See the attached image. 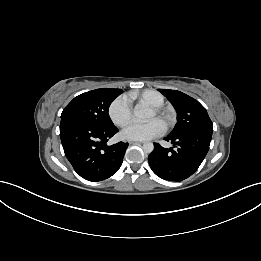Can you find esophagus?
I'll list each match as a JSON object with an SVG mask.
<instances>
[{"label":"esophagus","mask_w":261,"mask_h":261,"mask_svg":"<svg viewBox=\"0 0 261 261\" xmlns=\"http://www.w3.org/2000/svg\"><path fill=\"white\" fill-rule=\"evenodd\" d=\"M129 144H131V145H138V144H142V142L131 140V141H129Z\"/></svg>","instance_id":"1"}]
</instances>
